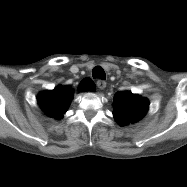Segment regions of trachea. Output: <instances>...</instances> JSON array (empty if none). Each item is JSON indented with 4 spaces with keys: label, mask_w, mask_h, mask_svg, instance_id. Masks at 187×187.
Masks as SVG:
<instances>
[{
    "label": "trachea",
    "mask_w": 187,
    "mask_h": 187,
    "mask_svg": "<svg viewBox=\"0 0 187 187\" xmlns=\"http://www.w3.org/2000/svg\"><path fill=\"white\" fill-rule=\"evenodd\" d=\"M92 76L93 78H99L102 80L106 79L105 71L100 66H96L93 68Z\"/></svg>",
    "instance_id": "trachea-1"
}]
</instances>
